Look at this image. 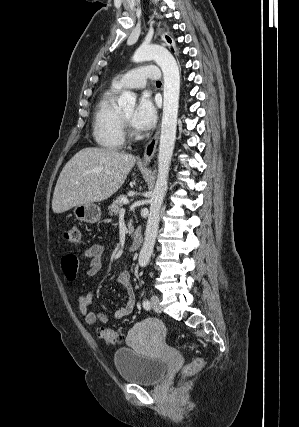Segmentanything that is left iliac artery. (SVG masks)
<instances>
[{"label": "left iliac artery", "instance_id": "obj_1", "mask_svg": "<svg viewBox=\"0 0 299 427\" xmlns=\"http://www.w3.org/2000/svg\"><path fill=\"white\" fill-rule=\"evenodd\" d=\"M142 304H143L144 309H146V310L150 309V302L147 299L143 300Z\"/></svg>", "mask_w": 299, "mask_h": 427}]
</instances>
